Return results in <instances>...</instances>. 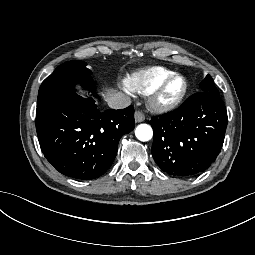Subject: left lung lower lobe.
<instances>
[{"instance_id": "0a47b994", "label": "left lung lower lobe", "mask_w": 255, "mask_h": 255, "mask_svg": "<svg viewBox=\"0 0 255 255\" xmlns=\"http://www.w3.org/2000/svg\"><path fill=\"white\" fill-rule=\"evenodd\" d=\"M152 155L168 174L192 177L217 158L227 127V111L219 95L199 92L176 111L153 117Z\"/></svg>"}]
</instances>
